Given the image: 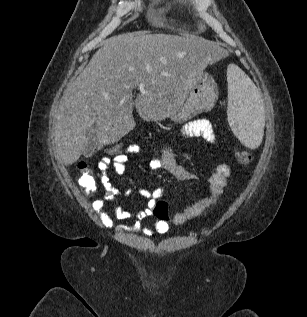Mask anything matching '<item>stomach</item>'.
Wrapping results in <instances>:
<instances>
[{"instance_id": "obj_1", "label": "stomach", "mask_w": 307, "mask_h": 317, "mask_svg": "<svg viewBox=\"0 0 307 317\" xmlns=\"http://www.w3.org/2000/svg\"><path fill=\"white\" fill-rule=\"evenodd\" d=\"M218 97V89L207 73L200 72L194 78L179 109L169 117L176 122H183L194 115L209 111Z\"/></svg>"}]
</instances>
